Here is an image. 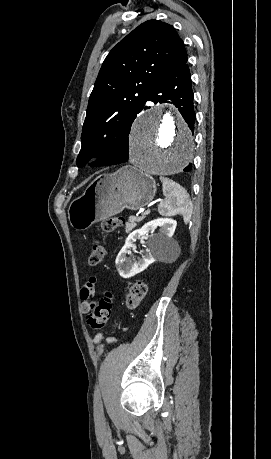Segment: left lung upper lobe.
I'll return each instance as SVG.
<instances>
[{"mask_svg": "<svg viewBox=\"0 0 271 459\" xmlns=\"http://www.w3.org/2000/svg\"><path fill=\"white\" fill-rule=\"evenodd\" d=\"M188 61L173 26L149 20L108 54L90 95L77 157L83 167L109 165L129 153L128 135L151 93Z\"/></svg>", "mask_w": 271, "mask_h": 459, "instance_id": "obj_1", "label": "left lung upper lobe"}]
</instances>
